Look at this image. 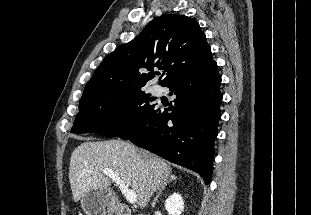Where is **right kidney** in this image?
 Instances as JSON below:
<instances>
[{"label": "right kidney", "mask_w": 311, "mask_h": 215, "mask_svg": "<svg viewBox=\"0 0 311 215\" xmlns=\"http://www.w3.org/2000/svg\"><path fill=\"white\" fill-rule=\"evenodd\" d=\"M165 208L169 215H181L184 209V202L180 194L174 193L165 201Z\"/></svg>", "instance_id": "right-kidney-1"}]
</instances>
